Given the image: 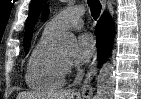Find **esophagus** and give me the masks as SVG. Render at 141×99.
<instances>
[{
    "mask_svg": "<svg viewBox=\"0 0 141 99\" xmlns=\"http://www.w3.org/2000/svg\"><path fill=\"white\" fill-rule=\"evenodd\" d=\"M101 4H102V9L104 11L105 10V1L101 0ZM96 71H97V54L93 58V61L90 65V69L81 87V94L84 98H90L93 94L94 89L92 86V80L96 74Z\"/></svg>",
    "mask_w": 141,
    "mask_h": 99,
    "instance_id": "esophagus-1",
    "label": "esophagus"
}]
</instances>
